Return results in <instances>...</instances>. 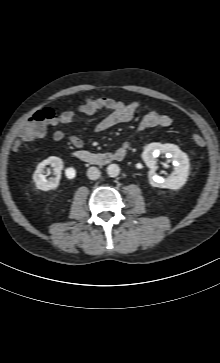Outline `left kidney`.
Wrapping results in <instances>:
<instances>
[{
  "instance_id": "5707ae66",
  "label": "left kidney",
  "mask_w": 220,
  "mask_h": 363,
  "mask_svg": "<svg viewBox=\"0 0 220 363\" xmlns=\"http://www.w3.org/2000/svg\"><path fill=\"white\" fill-rule=\"evenodd\" d=\"M161 153L169 155L174 165L173 173L167 178L160 177L155 172V158ZM142 159L150 168L148 177L149 183L153 187L177 190L186 183L190 168L189 159L178 146L174 144L151 143L145 147Z\"/></svg>"
}]
</instances>
